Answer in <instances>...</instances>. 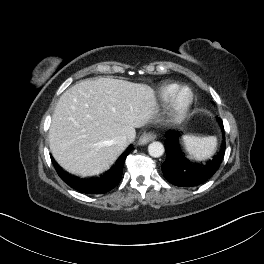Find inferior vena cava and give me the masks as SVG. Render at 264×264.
<instances>
[{
	"mask_svg": "<svg viewBox=\"0 0 264 264\" xmlns=\"http://www.w3.org/2000/svg\"><path fill=\"white\" fill-rule=\"evenodd\" d=\"M116 142L118 145L126 147L130 144V140L127 138V136H120L116 139Z\"/></svg>",
	"mask_w": 264,
	"mask_h": 264,
	"instance_id": "obj_1",
	"label": "inferior vena cava"
}]
</instances>
